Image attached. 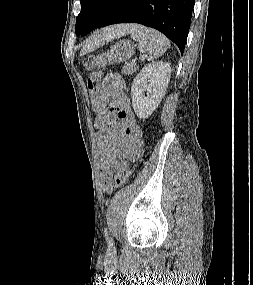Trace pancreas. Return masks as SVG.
Returning a JSON list of instances; mask_svg holds the SVG:
<instances>
[{
  "label": "pancreas",
  "instance_id": "cf45deb5",
  "mask_svg": "<svg viewBox=\"0 0 253 285\" xmlns=\"http://www.w3.org/2000/svg\"><path fill=\"white\" fill-rule=\"evenodd\" d=\"M137 67L135 65L124 66L122 69V73L125 75H131L137 71Z\"/></svg>",
  "mask_w": 253,
  "mask_h": 285
}]
</instances>
